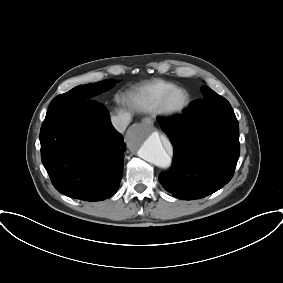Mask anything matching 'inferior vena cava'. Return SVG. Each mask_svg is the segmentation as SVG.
<instances>
[{"label": "inferior vena cava", "instance_id": "inferior-vena-cava-1", "mask_svg": "<svg viewBox=\"0 0 283 283\" xmlns=\"http://www.w3.org/2000/svg\"><path fill=\"white\" fill-rule=\"evenodd\" d=\"M131 121V115L129 113H122L111 118V122L115 129L120 133H123Z\"/></svg>", "mask_w": 283, "mask_h": 283}]
</instances>
